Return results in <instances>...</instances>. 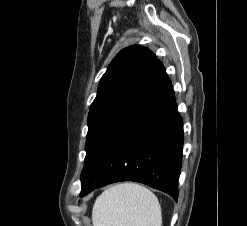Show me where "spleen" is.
Wrapping results in <instances>:
<instances>
[{
    "label": "spleen",
    "instance_id": "3e777b00",
    "mask_svg": "<svg viewBox=\"0 0 247 226\" xmlns=\"http://www.w3.org/2000/svg\"><path fill=\"white\" fill-rule=\"evenodd\" d=\"M93 226H161V207L149 189L123 183L104 191L92 210Z\"/></svg>",
    "mask_w": 247,
    "mask_h": 226
}]
</instances>
